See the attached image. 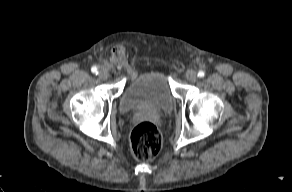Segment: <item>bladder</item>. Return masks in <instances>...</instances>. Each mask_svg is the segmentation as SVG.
<instances>
[{
	"label": "bladder",
	"instance_id": "31cf9c89",
	"mask_svg": "<svg viewBox=\"0 0 292 192\" xmlns=\"http://www.w3.org/2000/svg\"><path fill=\"white\" fill-rule=\"evenodd\" d=\"M173 104L174 95L168 77L162 71L133 76L119 98V110L122 113L169 112Z\"/></svg>",
	"mask_w": 292,
	"mask_h": 192
}]
</instances>
